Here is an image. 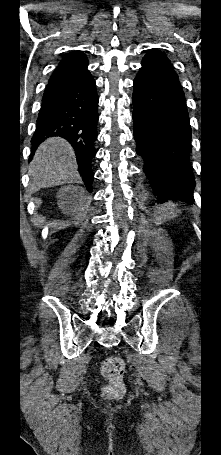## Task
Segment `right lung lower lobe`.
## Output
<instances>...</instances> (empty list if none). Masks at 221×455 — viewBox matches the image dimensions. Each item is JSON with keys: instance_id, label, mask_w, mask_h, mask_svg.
I'll list each match as a JSON object with an SVG mask.
<instances>
[{"instance_id": "98d812e1", "label": "right lung lower lobe", "mask_w": 221, "mask_h": 455, "mask_svg": "<svg viewBox=\"0 0 221 455\" xmlns=\"http://www.w3.org/2000/svg\"><path fill=\"white\" fill-rule=\"evenodd\" d=\"M81 52L69 53L50 77L32 137V155L45 139L60 136L75 150L78 171L91 192L92 159L96 154L98 96L95 80Z\"/></svg>"}]
</instances>
